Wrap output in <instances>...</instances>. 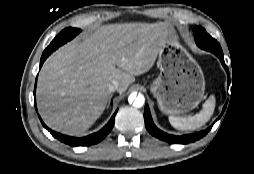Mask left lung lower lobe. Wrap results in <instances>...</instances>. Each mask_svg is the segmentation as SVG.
<instances>
[{"label": "left lung lower lobe", "instance_id": "left-lung-lower-lobe-1", "mask_svg": "<svg viewBox=\"0 0 254 174\" xmlns=\"http://www.w3.org/2000/svg\"><path fill=\"white\" fill-rule=\"evenodd\" d=\"M215 55L220 59L222 65L225 68V70L228 74V77H229V71H228V68L224 62L223 54L217 53ZM144 120H145L146 129L148 130V132L150 134H152L153 136L159 138L160 140L166 141L170 144H187L190 142H194V141L199 140L200 138L204 137L209 132V130L212 128V126H211L204 131H201V132H198L195 134L183 135V136H174V135L167 134V133L159 130L154 125L148 105L145 106Z\"/></svg>", "mask_w": 254, "mask_h": 174}]
</instances>
